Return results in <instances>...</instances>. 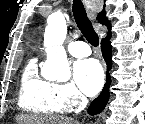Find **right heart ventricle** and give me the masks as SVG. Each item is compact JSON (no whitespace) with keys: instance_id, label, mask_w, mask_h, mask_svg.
Wrapping results in <instances>:
<instances>
[{"instance_id":"obj_1","label":"right heart ventricle","mask_w":145,"mask_h":124,"mask_svg":"<svg viewBox=\"0 0 145 124\" xmlns=\"http://www.w3.org/2000/svg\"><path fill=\"white\" fill-rule=\"evenodd\" d=\"M54 93L55 83L40 76L36 60H30L21 75L18 92L19 106L35 114H56L60 110L56 105Z\"/></svg>"}]
</instances>
